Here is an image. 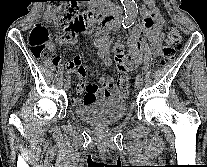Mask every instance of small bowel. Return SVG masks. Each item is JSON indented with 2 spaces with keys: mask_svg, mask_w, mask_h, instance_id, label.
Masks as SVG:
<instances>
[{
  "mask_svg": "<svg viewBox=\"0 0 207 167\" xmlns=\"http://www.w3.org/2000/svg\"><path fill=\"white\" fill-rule=\"evenodd\" d=\"M143 23L136 25L130 33L128 39V54L124 53L123 46L116 44L114 46L115 59L119 66L125 70H132L137 68L146 54L148 57H156L162 47L163 41V25L164 18L158 13L152 4H148L142 11ZM79 33L86 34L87 31L80 28L69 40L75 42ZM146 40L149 45L146 46ZM59 44H63V39H58ZM95 45L98 50V55L108 67L112 66V58L110 53V45L108 42V31L106 25H103L97 32L95 37ZM69 72L77 73L80 77V82L76 87L77 97L72 99L73 104H81L91 102L96 99L106 96H121L123 92L115 84L113 77L100 78V86L96 83L87 84L84 80L86 76L85 66L81 59H77L74 64L68 65Z\"/></svg>",
  "mask_w": 207,
  "mask_h": 167,
  "instance_id": "obj_1",
  "label": "small bowel"
}]
</instances>
